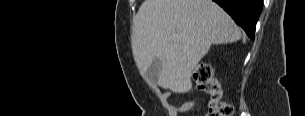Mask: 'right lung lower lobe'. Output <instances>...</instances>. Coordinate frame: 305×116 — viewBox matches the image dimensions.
Here are the masks:
<instances>
[{"instance_id":"98d812e1","label":"right lung lower lobe","mask_w":305,"mask_h":116,"mask_svg":"<svg viewBox=\"0 0 305 116\" xmlns=\"http://www.w3.org/2000/svg\"><path fill=\"white\" fill-rule=\"evenodd\" d=\"M219 4L254 40L256 23L262 11L263 0H213Z\"/></svg>"}]
</instances>
